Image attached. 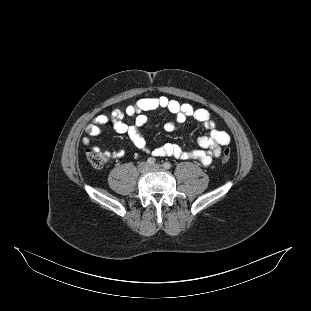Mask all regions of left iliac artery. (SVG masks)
Segmentation results:
<instances>
[{"label": "left iliac artery", "mask_w": 311, "mask_h": 311, "mask_svg": "<svg viewBox=\"0 0 311 311\" xmlns=\"http://www.w3.org/2000/svg\"><path fill=\"white\" fill-rule=\"evenodd\" d=\"M163 167H164L165 169H170V168H171V164H170L169 162H165V163L163 164Z\"/></svg>", "instance_id": "left-iliac-artery-1"}]
</instances>
